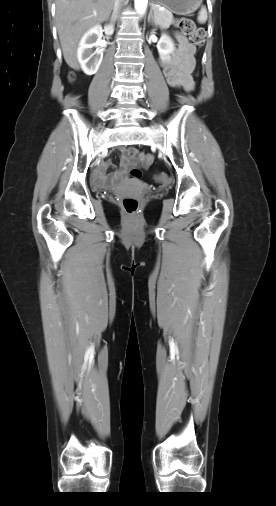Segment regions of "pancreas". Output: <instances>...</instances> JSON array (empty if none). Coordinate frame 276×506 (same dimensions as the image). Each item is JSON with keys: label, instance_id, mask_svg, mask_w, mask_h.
I'll return each instance as SVG.
<instances>
[{"label": "pancreas", "instance_id": "pancreas-1", "mask_svg": "<svg viewBox=\"0 0 276 506\" xmlns=\"http://www.w3.org/2000/svg\"><path fill=\"white\" fill-rule=\"evenodd\" d=\"M156 24L161 28H168L173 23V15L168 10L154 8Z\"/></svg>", "mask_w": 276, "mask_h": 506}]
</instances>
